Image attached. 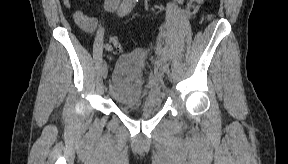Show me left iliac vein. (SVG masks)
I'll return each instance as SVG.
<instances>
[{"instance_id": "left-iliac-vein-1", "label": "left iliac vein", "mask_w": 288, "mask_h": 164, "mask_svg": "<svg viewBox=\"0 0 288 164\" xmlns=\"http://www.w3.org/2000/svg\"><path fill=\"white\" fill-rule=\"evenodd\" d=\"M161 70H162L163 72H166V71H167V64H166L165 61L162 62Z\"/></svg>"}]
</instances>
